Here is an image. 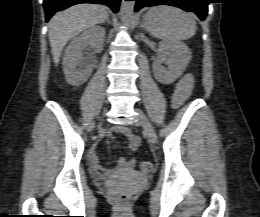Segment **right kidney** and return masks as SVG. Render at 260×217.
<instances>
[{
    "instance_id": "obj_1",
    "label": "right kidney",
    "mask_w": 260,
    "mask_h": 217,
    "mask_svg": "<svg viewBox=\"0 0 260 217\" xmlns=\"http://www.w3.org/2000/svg\"><path fill=\"white\" fill-rule=\"evenodd\" d=\"M105 38V29L101 26H93L75 36L65 50L63 69L66 81L73 86L82 85L89 78L92 66L89 63L82 65L83 49L86 47H98Z\"/></svg>"
}]
</instances>
